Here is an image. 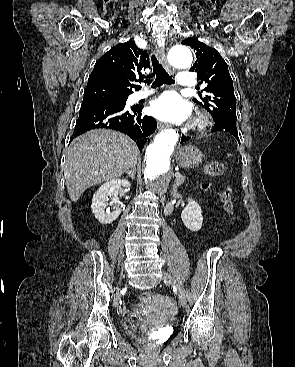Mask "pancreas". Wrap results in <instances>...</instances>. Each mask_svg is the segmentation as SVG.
I'll list each match as a JSON object with an SVG mask.
<instances>
[{
	"mask_svg": "<svg viewBox=\"0 0 295 367\" xmlns=\"http://www.w3.org/2000/svg\"><path fill=\"white\" fill-rule=\"evenodd\" d=\"M184 181H185V176L183 175L176 177V180H175L177 185H181Z\"/></svg>",
	"mask_w": 295,
	"mask_h": 367,
	"instance_id": "cf45deb5",
	"label": "pancreas"
}]
</instances>
